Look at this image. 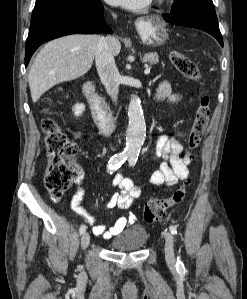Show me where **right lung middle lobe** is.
Wrapping results in <instances>:
<instances>
[{
	"instance_id": "1",
	"label": "right lung middle lobe",
	"mask_w": 247,
	"mask_h": 299,
	"mask_svg": "<svg viewBox=\"0 0 247 299\" xmlns=\"http://www.w3.org/2000/svg\"><path fill=\"white\" fill-rule=\"evenodd\" d=\"M89 1L91 0H36L31 17V23L61 7Z\"/></svg>"
}]
</instances>
